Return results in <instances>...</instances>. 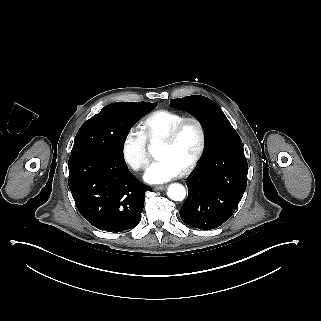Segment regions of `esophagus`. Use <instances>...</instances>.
Here are the masks:
<instances>
[{"label": "esophagus", "instance_id": "esophagus-1", "mask_svg": "<svg viewBox=\"0 0 321 321\" xmlns=\"http://www.w3.org/2000/svg\"><path fill=\"white\" fill-rule=\"evenodd\" d=\"M165 188H166L165 185H161V186H156V187L154 188V190L159 191V190H163V189H165Z\"/></svg>", "mask_w": 321, "mask_h": 321}]
</instances>
